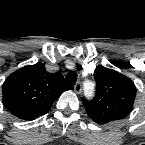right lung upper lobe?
Returning a JSON list of instances; mask_svg holds the SVG:
<instances>
[{
  "label": "right lung upper lobe",
  "mask_w": 145,
  "mask_h": 145,
  "mask_svg": "<svg viewBox=\"0 0 145 145\" xmlns=\"http://www.w3.org/2000/svg\"><path fill=\"white\" fill-rule=\"evenodd\" d=\"M72 89L61 73H49L45 65L37 63L12 73L4 82L3 103L10 113L24 120L46 114L52 103Z\"/></svg>",
  "instance_id": "1"
}]
</instances>
